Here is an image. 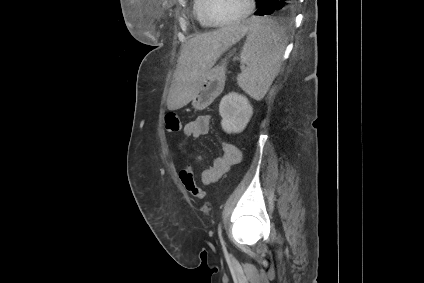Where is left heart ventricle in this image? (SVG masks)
<instances>
[{
	"label": "left heart ventricle",
	"mask_w": 424,
	"mask_h": 283,
	"mask_svg": "<svg viewBox=\"0 0 424 283\" xmlns=\"http://www.w3.org/2000/svg\"><path fill=\"white\" fill-rule=\"evenodd\" d=\"M247 6V0H212L211 14L217 21H228L243 14Z\"/></svg>",
	"instance_id": "left-heart-ventricle-1"
}]
</instances>
